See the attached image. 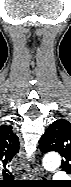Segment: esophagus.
Here are the masks:
<instances>
[{
  "mask_svg": "<svg viewBox=\"0 0 71 187\" xmlns=\"http://www.w3.org/2000/svg\"><path fill=\"white\" fill-rule=\"evenodd\" d=\"M33 176L35 178H41L42 176H44V170L38 163H35L34 165Z\"/></svg>",
  "mask_w": 71,
  "mask_h": 187,
  "instance_id": "esophagus-1",
  "label": "esophagus"
}]
</instances>
